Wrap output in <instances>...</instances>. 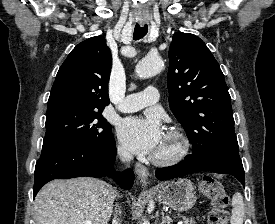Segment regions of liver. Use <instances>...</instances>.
Wrapping results in <instances>:
<instances>
[{
    "mask_svg": "<svg viewBox=\"0 0 275 224\" xmlns=\"http://www.w3.org/2000/svg\"><path fill=\"white\" fill-rule=\"evenodd\" d=\"M116 193L111 185L90 177L53 180L36 195L38 224H107Z\"/></svg>",
    "mask_w": 275,
    "mask_h": 224,
    "instance_id": "liver-1",
    "label": "liver"
}]
</instances>
